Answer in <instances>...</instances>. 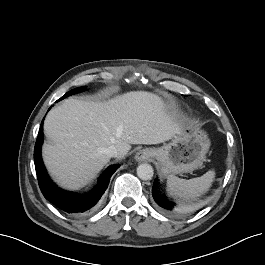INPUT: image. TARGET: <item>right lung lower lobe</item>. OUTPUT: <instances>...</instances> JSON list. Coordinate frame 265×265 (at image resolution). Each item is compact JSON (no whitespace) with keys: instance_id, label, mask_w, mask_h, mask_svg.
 <instances>
[{"instance_id":"98d812e1","label":"right lung lower lobe","mask_w":265,"mask_h":265,"mask_svg":"<svg viewBox=\"0 0 265 265\" xmlns=\"http://www.w3.org/2000/svg\"><path fill=\"white\" fill-rule=\"evenodd\" d=\"M43 143V121L34 148V162L39 187L44 197L60 210L66 213L82 214L92 208L104 194L113 173L119 165H112L101 175L98 184L87 195H76L57 187L49 178L41 158Z\"/></svg>"}]
</instances>
